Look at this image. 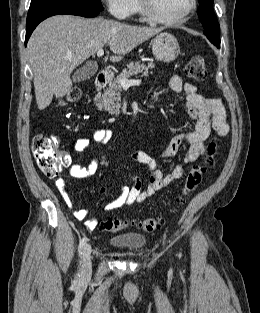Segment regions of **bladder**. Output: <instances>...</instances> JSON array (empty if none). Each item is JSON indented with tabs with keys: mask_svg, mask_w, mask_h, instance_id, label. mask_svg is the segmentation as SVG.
I'll list each match as a JSON object with an SVG mask.
<instances>
[{
	"mask_svg": "<svg viewBox=\"0 0 260 313\" xmlns=\"http://www.w3.org/2000/svg\"><path fill=\"white\" fill-rule=\"evenodd\" d=\"M146 243V238L140 234H125L112 237L109 244L120 249L139 250Z\"/></svg>",
	"mask_w": 260,
	"mask_h": 313,
	"instance_id": "bladder-1",
	"label": "bladder"
}]
</instances>
